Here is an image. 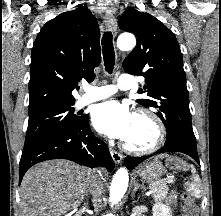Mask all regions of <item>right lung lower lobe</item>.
I'll use <instances>...</instances> for the list:
<instances>
[{"label":"right lung lower lobe","instance_id":"obj_1","mask_svg":"<svg viewBox=\"0 0 221 216\" xmlns=\"http://www.w3.org/2000/svg\"><path fill=\"white\" fill-rule=\"evenodd\" d=\"M89 116L75 125L55 132L37 143L24 147L20 159L19 183L34 164L51 159H68L88 167H115L108 146L96 138L89 127Z\"/></svg>","mask_w":221,"mask_h":216}]
</instances>
